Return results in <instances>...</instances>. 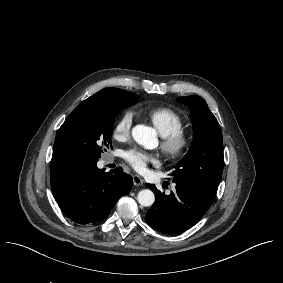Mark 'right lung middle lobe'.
Here are the masks:
<instances>
[{"instance_id": "1", "label": "right lung middle lobe", "mask_w": 283, "mask_h": 283, "mask_svg": "<svg viewBox=\"0 0 283 283\" xmlns=\"http://www.w3.org/2000/svg\"><path fill=\"white\" fill-rule=\"evenodd\" d=\"M137 101V95L123 94L76 108L57 133L63 154L71 163L100 158L111 145L115 117Z\"/></svg>"}]
</instances>
